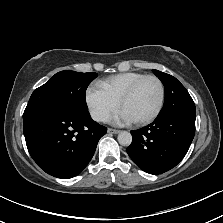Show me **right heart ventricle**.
Returning <instances> with one entry per match:
<instances>
[{"label":"right heart ventricle","instance_id":"obj_1","mask_svg":"<svg viewBox=\"0 0 223 223\" xmlns=\"http://www.w3.org/2000/svg\"><path fill=\"white\" fill-rule=\"evenodd\" d=\"M146 76L139 72H123L111 75L100 81L108 92L116 99H119L135 82Z\"/></svg>","mask_w":223,"mask_h":223}]
</instances>
